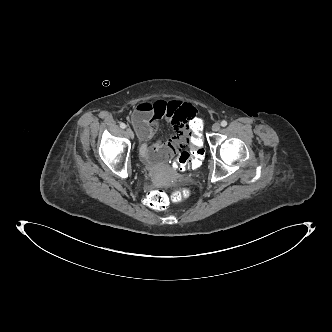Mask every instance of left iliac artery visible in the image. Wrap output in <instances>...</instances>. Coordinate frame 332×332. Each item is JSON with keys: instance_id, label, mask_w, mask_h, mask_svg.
I'll use <instances>...</instances> for the list:
<instances>
[{"instance_id": "44dca946", "label": "left iliac artery", "mask_w": 332, "mask_h": 332, "mask_svg": "<svg viewBox=\"0 0 332 332\" xmlns=\"http://www.w3.org/2000/svg\"><path fill=\"white\" fill-rule=\"evenodd\" d=\"M221 126H222V127L227 126V121H226V120L221 121Z\"/></svg>"}]
</instances>
